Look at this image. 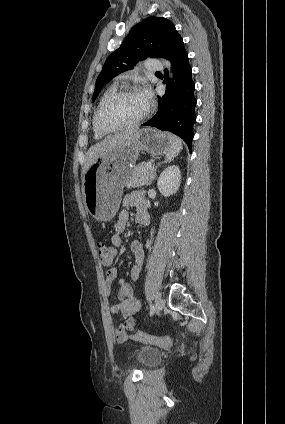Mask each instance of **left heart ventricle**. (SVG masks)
<instances>
[{
	"instance_id": "obj_1",
	"label": "left heart ventricle",
	"mask_w": 285,
	"mask_h": 424,
	"mask_svg": "<svg viewBox=\"0 0 285 424\" xmlns=\"http://www.w3.org/2000/svg\"><path fill=\"white\" fill-rule=\"evenodd\" d=\"M146 110L147 107L140 94H130L108 105L102 113L101 121L105 125H120L136 120Z\"/></svg>"
}]
</instances>
